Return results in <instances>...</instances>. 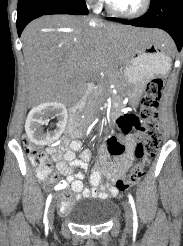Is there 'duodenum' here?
<instances>
[{
    "instance_id": "1",
    "label": "duodenum",
    "mask_w": 183,
    "mask_h": 246,
    "mask_svg": "<svg viewBox=\"0 0 183 246\" xmlns=\"http://www.w3.org/2000/svg\"><path fill=\"white\" fill-rule=\"evenodd\" d=\"M81 104H74L73 108L70 110V119L67 124L66 132L69 135H74L76 133L77 127V119H76V111L81 109Z\"/></svg>"
}]
</instances>
